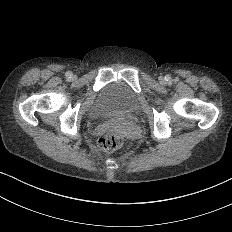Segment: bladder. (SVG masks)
<instances>
[{"label": "bladder", "mask_w": 232, "mask_h": 232, "mask_svg": "<svg viewBox=\"0 0 232 232\" xmlns=\"http://www.w3.org/2000/svg\"><path fill=\"white\" fill-rule=\"evenodd\" d=\"M138 108V98L131 88L123 82H111L100 90L85 116L90 120H98L108 113L130 114Z\"/></svg>", "instance_id": "1"}]
</instances>
